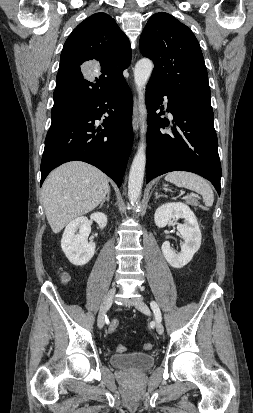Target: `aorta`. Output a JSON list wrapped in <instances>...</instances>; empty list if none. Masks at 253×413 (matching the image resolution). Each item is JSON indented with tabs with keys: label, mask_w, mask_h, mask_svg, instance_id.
<instances>
[{
	"label": "aorta",
	"mask_w": 253,
	"mask_h": 413,
	"mask_svg": "<svg viewBox=\"0 0 253 413\" xmlns=\"http://www.w3.org/2000/svg\"><path fill=\"white\" fill-rule=\"evenodd\" d=\"M153 62L148 58L140 59L134 68V80L137 86L138 94H139V111L141 114V141L139 143V147L137 153L133 159L130 173H129V180H128V198L129 201L133 204L137 202L141 195L143 178L145 173V165H146V132H147V124H146V117L147 111L146 106L144 103V95L143 89L145 88L152 70H153Z\"/></svg>",
	"instance_id": "1"
}]
</instances>
